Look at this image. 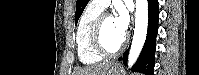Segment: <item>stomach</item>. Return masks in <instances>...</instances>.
Returning a JSON list of instances; mask_svg holds the SVG:
<instances>
[{
	"mask_svg": "<svg viewBox=\"0 0 199 75\" xmlns=\"http://www.w3.org/2000/svg\"><path fill=\"white\" fill-rule=\"evenodd\" d=\"M109 75H121V70L118 66H112Z\"/></svg>",
	"mask_w": 199,
	"mask_h": 75,
	"instance_id": "1",
	"label": "stomach"
}]
</instances>
